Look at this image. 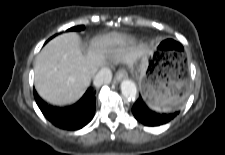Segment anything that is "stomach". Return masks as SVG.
Wrapping results in <instances>:
<instances>
[{"label":"stomach","instance_id":"obj_1","mask_svg":"<svg viewBox=\"0 0 225 155\" xmlns=\"http://www.w3.org/2000/svg\"><path fill=\"white\" fill-rule=\"evenodd\" d=\"M157 51L142 60L139 69V86L145 100L158 107L173 106L182 102L188 90V80L180 68L166 65L158 60Z\"/></svg>","mask_w":225,"mask_h":155}]
</instances>
